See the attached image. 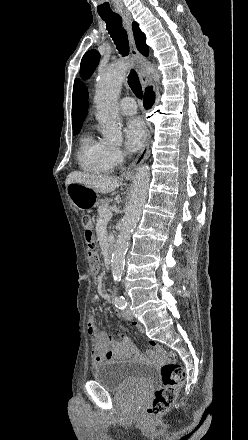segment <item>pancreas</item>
Here are the masks:
<instances>
[{
    "label": "pancreas",
    "mask_w": 248,
    "mask_h": 440,
    "mask_svg": "<svg viewBox=\"0 0 248 440\" xmlns=\"http://www.w3.org/2000/svg\"><path fill=\"white\" fill-rule=\"evenodd\" d=\"M104 208H105V209H109V199H104V200H100V201H99V203H98V209H97L99 216H100V214H101V211H102Z\"/></svg>",
    "instance_id": "pancreas-1"
}]
</instances>
